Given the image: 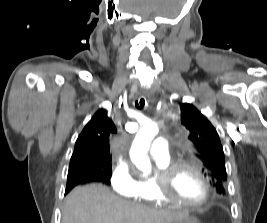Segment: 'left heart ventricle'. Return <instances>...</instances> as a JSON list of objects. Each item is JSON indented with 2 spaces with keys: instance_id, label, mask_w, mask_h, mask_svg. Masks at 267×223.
Here are the masks:
<instances>
[{
  "instance_id": "b2bd125f",
  "label": "left heart ventricle",
  "mask_w": 267,
  "mask_h": 223,
  "mask_svg": "<svg viewBox=\"0 0 267 223\" xmlns=\"http://www.w3.org/2000/svg\"><path fill=\"white\" fill-rule=\"evenodd\" d=\"M171 191L180 199L196 202L204 197L205 186L195 171L182 168L172 180Z\"/></svg>"
}]
</instances>
